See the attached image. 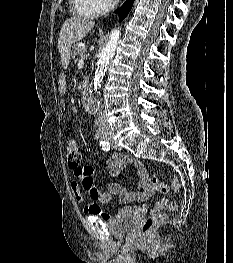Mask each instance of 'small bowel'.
Masks as SVG:
<instances>
[{
  "instance_id": "small-bowel-1",
  "label": "small bowel",
  "mask_w": 233,
  "mask_h": 263,
  "mask_svg": "<svg viewBox=\"0 0 233 263\" xmlns=\"http://www.w3.org/2000/svg\"><path fill=\"white\" fill-rule=\"evenodd\" d=\"M130 163L133 170L138 176V186L134 191H128L117 184H111L106 192L99 190L93 179V168L89 165L82 166L79 172H75V175L81 180L82 186L77 182L72 183V192L75 199L78 202H83L82 189L89 195L92 203L85 207V211L89 214L108 221L112 218L104 209H102L99 203H109L114 196H118L122 204H129L132 202H143L153 196L155 189L153 188L151 177L146 169V166L138 159L132 156H126L121 153H115L111 155L107 160V166L111 177H117L122 169ZM162 192L169 191L167 186L164 187ZM167 199H162L153 204L152 207L145 205H137L134 207H127L125 209L138 212H155L163 209L167 204Z\"/></svg>"
}]
</instances>
